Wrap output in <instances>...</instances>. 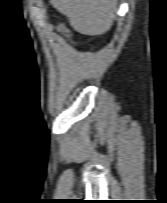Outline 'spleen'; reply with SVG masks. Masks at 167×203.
I'll return each mask as SVG.
<instances>
[{"label": "spleen", "instance_id": "obj_1", "mask_svg": "<svg viewBox=\"0 0 167 203\" xmlns=\"http://www.w3.org/2000/svg\"><path fill=\"white\" fill-rule=\"evenodd\" d=\"M70 25L84 35H102L113 23L117 0H51Z\"/></svg>", "mask_w": 167, "mask_h": 203}]
</instances>
